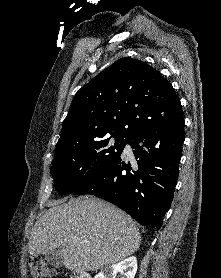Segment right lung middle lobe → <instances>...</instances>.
I'll return each mask as SVG.
<instances>
[{"mask_svg":"<svg viewBox=\"0 0 221 278\" xmlns=\"http://www.w3.org/2000/svg\"><path fill=\"white\" fill-rule=\"evenodd\" d=\"M111 137L93 138L55 152L51 174L59 194L74 192L121 156L126 138Z\"/></svg>","mask_w":221,"mask_h":278,"instance_id":"1","label":"right lung middle lobe"}]
</instances>
